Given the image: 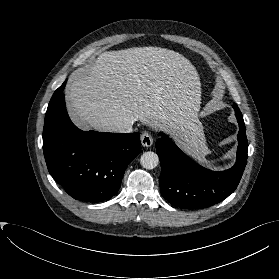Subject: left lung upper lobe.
<instances>
[{"label":"left lung upper lobe","mask_w":279,"mask_h":279,"mask_svg":"<svg viewBox=\"0 0 279 279\" xmlns=\"http://www.w3.org/2000/svg\"><path fill=\"white\" fill-rule=\"evenodd\" d=\"M234 110H235L236 117H242V114L236 104L234 105Z\"/></svg>","instance_id":"1"}]
</instances>
